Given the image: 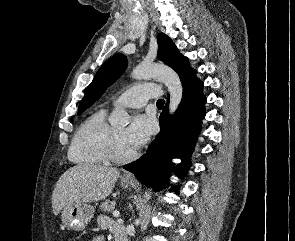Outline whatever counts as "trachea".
<instances>
[{
  "instance_id": "trachea-1",
  "label": "trachea",
  "mask_w": 295,
  "mask_h": 241,
  "mask_svg": "<svg viewBox=\"0 0 295 241\" xmlns=\"http://www.w3.org/2000/svg\"><path fill=\"white\" fill-rule=\"evenodd\" d=\"M157 106H158V107H163V106H164V100H163V99H159V100L157 101Z\"/></svg>"
}]
</instances>
